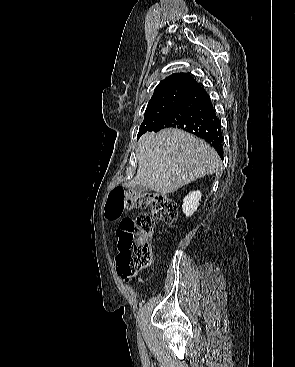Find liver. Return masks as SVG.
I'll list each match as a JSON object with an SVG mask.
<instances>
[{
  "label": "liver",
  "mask_w": 295,
  "mask_h": 367,
  "mask_svg": "<svg viewBox=\"0 0 295 367\" xmlns=\"http://www.w3.org/2000/svg\"><path fill=\"white\" fill-rule=\"evenodd\" d=\"M137 174L128 186L143 185L166 195L219 170L220 158L206 142L174 128L147 132L136 147Z\"/></svg>",
  "instance_id": "1"
}]
</instances>
